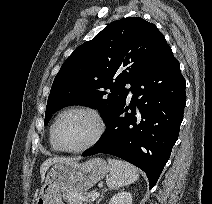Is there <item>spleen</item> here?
Returning a JSON list of instances; mask_svg holds the SVG:
<instances>
[{"label": "spleen", "instance_id": "1", "mask_svg": "<svg viewBox=\"0 0 212 204\" xmlns=\"http://www.w3.org/2000/svg\"><path fill=\"white\" fill-rule=\"evenodd\" d=\"M108 170L106 183L111 189L130 185L139 179L138 170L125 161L108 159Z\"/></svg>", "mask_w": 212, "mask_h": 204}]
</instances>
